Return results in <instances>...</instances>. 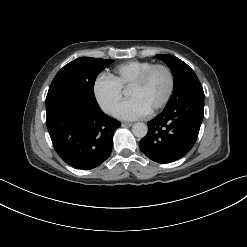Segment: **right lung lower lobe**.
I'll list each match as a JSON object with an SVG mask.
<instances>
[{
  "label": "right lung lower lobe",
  "instance_id": "98d812e1",
  "mask_svg": "<svg viewBox=\"0 0 247 247\" xmlns=\"http://www.w3.org/2000/svg\"><path fill=\"white\" fill-rule=\"evenodd\" d=\"M46 124L58 155L77 169H93L111 154L115 129L121 124L98 105L62 99L46 106Z\"/></svg>",
  "mask_w": 247,
  "mask_h": 247
}]
</instances>
